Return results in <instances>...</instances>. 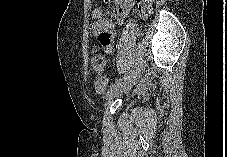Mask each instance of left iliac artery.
I'll list each match as a JSON object with an SVG mask.
<instances>
[{"label":"left iliac artery","instance_id":"1","mask_svg":"<svg viewBox=\"0 0 227 157\" xmlns=\"http://www.w3.org/2000/svg\"><path fill=\"white\" fill-rule=\"evenodd\" d=\"M131 72H132V70H130L128 73H126V74H125L124 76H122L121 78L117 79V80L115 81L114 84H111V85H110V88H113L115 85L120 84V83H122L123 81H125V80L129 77V75H130Z\"/></svg>","mask_w":227,"mask_h":157}]
</instances>
